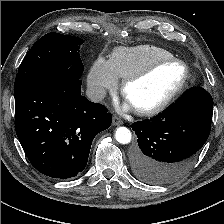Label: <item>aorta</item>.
Instances as JSON below:
<instances>
[{
    "instance_id": "762f6f07",
    "label": "aorta",
    "mask_w": 224,
    "mask_h": 224,
    "mask_svg": "<svg viewBox=\"0 0 224 224\" xmlns=\"http://www.w3.org/2000/svg\"><path fill=\"white\" fill-rule=\"evenodd\" d=\"M115 138L121 144H128L131 142L132 135L128 128L119 127L116 129Z\"/></svg>"
}]
</instances>
